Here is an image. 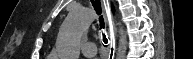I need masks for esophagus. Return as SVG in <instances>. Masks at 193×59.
<instances>
[{
  "mask_svg": "<svg viewBox=\"0 0 193 59\" xmlns=\"http://www.w3.org/2000/svg\"><path fill=\"white\" fill-rule=\"evenodd\" d=\"M90 3L92 5H96L97 3H100L103 9V13L106 16L107 23H108V34L109 37H107L108 40V59H114L116 48V38H115V30H114V22H113V16L110 8V1L104 0V1H97V0H91ZM104 43V41H103ZM105 44V43H104Z\"/></svg>",
  "mask_w": 193,
  "mask_h": 59,
  "instance_id": "obj_1",
  "label": "esophagus"
}]
</instances>
